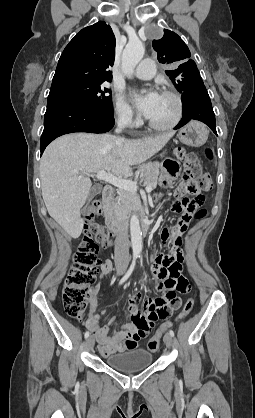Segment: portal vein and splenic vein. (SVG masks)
Wrapping results in <instances>:
<instances>
[{"label":"portal vein and splenic vein","mask_w":255,"mask_h":418,"mask_svg":"<svg viewBox=\"0 0 255 418\" xmlns=\"http://www.w3.org/2000/svg\"><path fill=\"white\" fill-rule=\"evenodd\" d=\"M86 175L91 176V177L95 176L99 180H103L109 184H112L118 187L119 189H123L129 192L135 193L138 190V186L136 182L117 177L115 175L105 172L104 170L98 171L97 174L95 175L93 174H86ZM145 190L146 192L149 193L152 191V188L150 186H147Z\"/></svg>","instance_id":"obj_1"}]
</instances>
